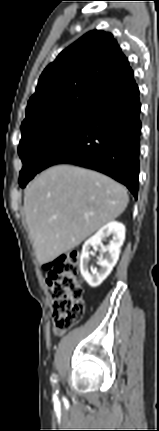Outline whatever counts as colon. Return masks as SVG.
<instances>
[{"label": "colon", "instance_id": "5ec220e1", "mask_svg": "<svg viewBox=\"0 0 159 431\" xmlns=\"http://www.w3.org/2000/svg\"><path fill=\"white\" fill-rule=\"evenodd\" d=\"M79 261V253L71 251L60 255L49 265L47 285L52 299L53 318L57 328L62 330L77 324L84 313Z\"/></svg>", "mask_w": 159, "mask_h": 431}]
</instances>
